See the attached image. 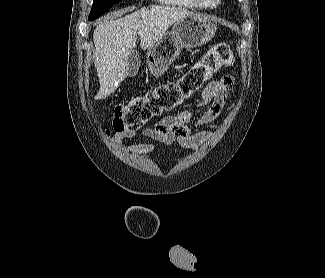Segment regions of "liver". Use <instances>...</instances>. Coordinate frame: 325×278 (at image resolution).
<instances>
[{"mask_svg":"<svg viewBox=\"0 0 325 278\" xmlns=\"http://www.w3.org/2000/svg\"><path fill=\"white\" fill-rule=\"evenodd\" d=\"M129 10L132 8L115 13L111 19L100 23L94 30L93 60L100 83V89L95 96L97 100L114 93L128 76V57L136 46L137 35L140 36L141 48L149 49L176 21L195 15L181 7L152 5L121 17Z\"/></svg>","mask_w":325,"mask_h":278,"instance_id":"6515ba94","label":"liver"}]
</instances>
